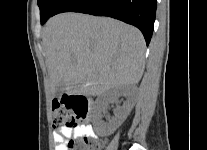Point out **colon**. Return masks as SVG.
I'll use <instances>...</instances> for the list:
<instances>
[{
	"mask_svg": "<svg viewBox=\"0 0 207 150\" xmlns=\"http://www.w3.org/2000/svg\"><path fill=\"white\" fill-rule=\"evenodd\" d=\"M88 100L76 96H68V100H54L52 102V123L54 126L77 127L87 116ZM64 150H98V145L91 144L84 139L77 143L70 140L64 143Z\"/></svg>",
	"mask_w": 207,
	"mask_h": 150,
	"instance_id": "5ec220e1",
	"label": "colon"
}]
</instances>
